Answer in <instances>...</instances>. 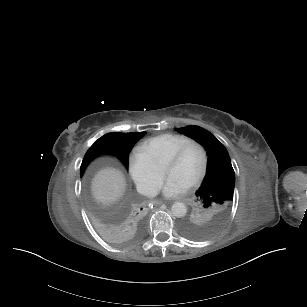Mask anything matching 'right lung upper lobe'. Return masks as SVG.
<instances>
[{"mask_svg":"<svg viewBox=\"0 0 307 307\" xmlns=\"http://www.w3.org/2000/svg\"><path fill=\"white\" fill-rule=\"evenodd\" d=\"M110 135H125L130 137H142L145 132L133 133H108ZM97 219L105 229L136 228L143 224L146 217V209L139 202L130 201L121 205L99 209Z\"/></svg>","mask_w":307,"mask_h":307,"instance_id":"right-lung-upper-lobe-1","label":"right lung upper lobe"}]
</instances>
